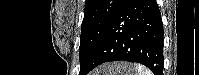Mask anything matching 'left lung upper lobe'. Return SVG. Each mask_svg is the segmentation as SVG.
I'll use <instances>...</instances> for the list:
<instances>
[{
  "instance_id": "5c2ea615",
  "label": "left lung upper lobe",
  "mask_w": 199,
  "mask_h": 75,
  "mask_svg": "<svg viewBox=\"0 0 199 75\" xmlns=\"http://www.w3.org/2000/svg\"><path fill=\"white\" fill-rule=\"evenodd\" d=\"M123 0H86L79 59L81 75L89 66L106 30Z\"/></svg>"
}]
</instances>
